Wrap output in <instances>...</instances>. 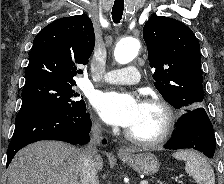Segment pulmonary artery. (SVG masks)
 I'll return each mask as SVG.
<instances>
[{"mask_svg": "<svg viewBox=\"0 0 224 184\" xmlns=\"http://www.w3.org/2000/svg\"><path fill=\"white\" fill-rule=\"evenodd\" d=\"M139 71L134 66H129L124 69H116L108 71L103 80L113 84H136L139 81Z\"/></svg>", "mask_w": 224, "mask_h": 184, "instance_id": "pulmonary-artery-1", "label": "pulmonary artery"}]
</instances>
